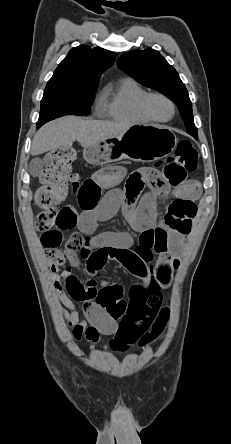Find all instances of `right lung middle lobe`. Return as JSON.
Segmentation results:
<instances>
[{"instance_id":"1","label":"right lung middle lobe","mask_w":231,"mask_h":444,"mask_svg":"<svg viewBox=\"0 0 231 444\" xmlns=\"http://www.w3.org/2000/svg\"><path fill=\"white\" fill-rule=\"evenodd\" d=\"M96 89H45L37 128L64 115H87Z\"/></svg>"}]
</instances>
